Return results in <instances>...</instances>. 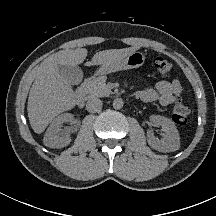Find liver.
I'll return each mask as SVG.
<instances>
[{"mask_svg": "<svg viewBox=\"0 0 216 216\" xmlns=\"http://www.w3.org/2000/svg\"><path fill=\"white\" fill-rule=\"evenodd\" d=\"M136 49L130 47L99 51L88 65H110L127 57ZM87 54L85 48L61 50L42 62L30 89L27 104L29 122L35 133L44 132L57 115L75 106V93L71 84L59 74L58 65L81 64Z\"/></svg>", "mask_w": 216, "mask_h": 216, "instance_id": "obj_1", "label": "liver"}]
</instances>
